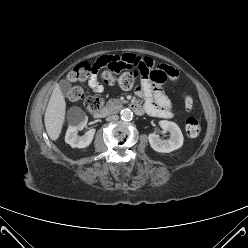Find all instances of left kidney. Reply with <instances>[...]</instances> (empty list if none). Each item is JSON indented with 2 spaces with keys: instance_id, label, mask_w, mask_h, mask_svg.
<instances>
[{
  "instance_id": "5707ae66",
  "label": "left kidney",
  "mask_w": 248,
  "mask_h": 248,
  "mask_svg": "<svg viewBox=\"0 0 248 248\" xmlns=\"http://www.w3.org/2000/svg\"><path fill=\"white\" fill-rule=\"evenodd\" d=\"M159 125L163 130L170 132L171 136L167 140H161L159 135L155 133L149 134L148 140L152 149L161 153H169L179 149L184 141L179 126L167 120L160 121Z\"/></svg>"
}]
</instances>
